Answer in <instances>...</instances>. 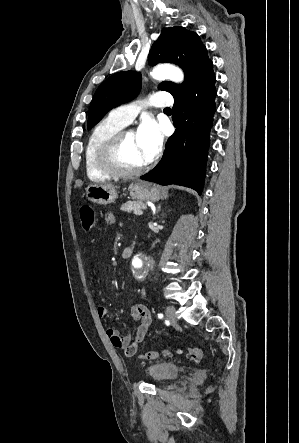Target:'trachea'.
I'll list each match as a JSON object with an SVG mask.
<instances>
[{
  "mask_svg": "<svg viewBox=\"0 0 299 443\" xmlns=\"http://www.w3.org/2000/svg\"><path fill=\"white\" fill-rule=\"evenodd\" d=\"M165 110H171L170 108H165Z\"/></svg>",
  "mask_w": 299,
  "mask_h": 443,
  "instance_id": "1",
  "label": "trachea"
}]
</instances>
